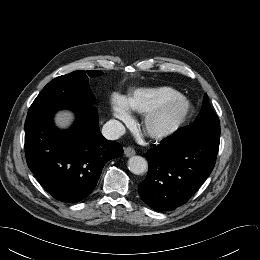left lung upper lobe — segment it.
<instances>
[{
    "label": "left lung upper lobe",
    "instance_id": "obj_1",
    "mask_svg": "<svg viewBox=\"0 0 260 260\" xmlns=\"http://www.w3.org/2000/svg\"><path fill=\"white\" fill-rule=\"evenodd\" d=\"M173 135H183L189 137L220 139V122L217 115L213 112L207 94L204 95L202 110L195 121L187 126L178 129Z\"/></svg>",
    "mask_w": 260,
    "mask_h": 260
}]
</instances>
